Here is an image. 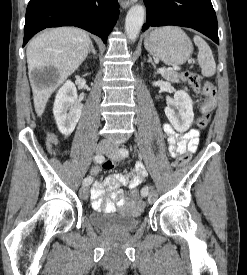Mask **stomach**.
Masks as SVG:
<instances>
[{"instance_id": "stomach-1", "label": "stomach", "mask_w": 247, "mask_h": 275, "mask_svg": "<svg viewBox=\"0 0 247 275\" xmlns=\"http://www.w3.org/2000/svg\"><path fill=\"white\" fill-rule=\"evenodd\" d=\"M146 50L168 66L185 63L193 52V45L182 29L174 26L153 30L145 39Z\"/></svg>"}]
</instances>
